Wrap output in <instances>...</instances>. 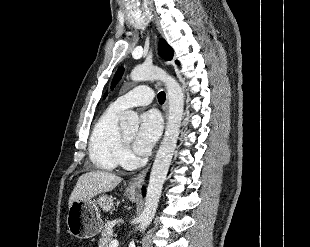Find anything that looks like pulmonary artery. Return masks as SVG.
Returning a JSON list of instances; mask_svg holds the SVG:
<instances>
[{
    "label": "pulmonary artery",
    "mask_w": 310,
    "mask_h": 247,
    "mask_svg": "<svg viewBox=\"0 0 310 247\" xmlns=\"http://www.w3.org/2000/svg\"><path fill=\"white\" fill-rule=\"evenodd\" d=\"M153 98V90L147 85H141L117 98L112 103V106L123 111L135 106L148 105L152 102Z\"/></svg>",
    "instance_id": "e3ab8cb5"
}]
</instances>
